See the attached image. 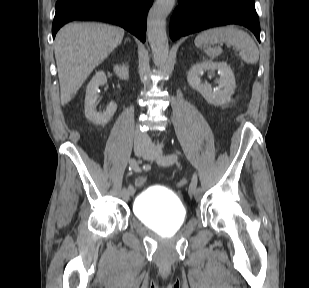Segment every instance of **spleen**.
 Listing matches in <instances>:
<instances>
[{"label": "spleen", "mask_w": 309, "mask_h": 288, "mask_svg": "<svg viewBox=\"0 0 309 288\" xmlns=\"http://www.w3.org/2000/svg\"><path fill=\"white\" fill-rule=\"evenodd\" d=\"M228 43L240 50V58L248 64H256L259 60L257 45L248 33L234 26L216 27L201 32L195 39V45L204 50L210 58L222 53L221 47L211 45Z\"/></svg>", "instance_id": "3e777b00"}]
</instances>
